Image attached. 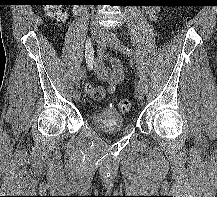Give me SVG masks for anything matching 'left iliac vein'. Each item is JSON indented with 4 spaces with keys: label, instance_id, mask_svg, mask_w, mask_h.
<instances>
[{
    "label": "left iliac vein",
    "instance_id": "4c4485c4",
    "mask_svg": "<svg viewBox=\"0 0 217 197\" xmlns=\"http://www.w3.org/2000/svg\"><path fill=\"white\" fill-rule=\"evenodd\" d=\"M102 40L105 45H107L110 48H115L114 42H113V33L108 32L106 29H102L101 31ZM144 85L140 79L135 80V94L139 99L144 98Z\"/></svg>",
    "mask_w": 217,
    "mask_h": 197
}]
</instances>
